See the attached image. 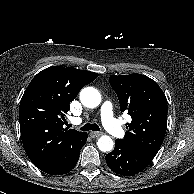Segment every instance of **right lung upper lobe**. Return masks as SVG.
<instances>
[{
  "label": "right lung upper lobe",
  "mask_w": 194,
  "mask_h": 194,
  "mask_svg": "<svg viewBox=\"0 0 194 194\" xmlns=\"http://www.w3.org/2000/svg\"><path fill=\"white\" fill-rule=\"evenodd\" d=\"M97 73L53 66L38 73L25 90L19 110L21 138L31 162L49 167L70 151L85 132L63 127L70 102Z\"/></svg>",
  "instance_id": "cb5924a9"
}]
</instances>
